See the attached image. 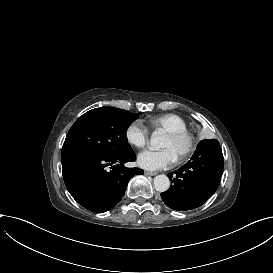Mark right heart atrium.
I'll return each instance as SVG.
<instances>
[{
  "mask_svg": "<svg viewBox=\"0 0 273 273\" xmlns=\"http://www.w3.org/2000/svg\"><path fill=\"white\" fill-rule=\"evenodd\" d=\"M125 136L130 144L136 147H143L147 144L149 132L144 125L135 121L128 125Z\"/></svg>",
  "mask_w": 273,
  "mask_h": 273,
  "instance_id": "1",
  "label": "right heart atrium"
}]
</instances>
